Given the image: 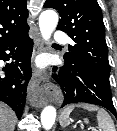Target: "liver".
Masks as SVG:
<instances>
[{"mask_svg": "<svg viewBox=\"0 0 117 131\" xmlns=\"http://www.w3.org/2000/svg\"><path fill=\"white\" fill-rule=\"evenodd\" d=\"M15 113L3 102H0V131H14Z\"/></svg>", "mask_w": 117, "mask_h": 131, "instance_id": "6515ba94", "label": "liver"}]
</instances>
